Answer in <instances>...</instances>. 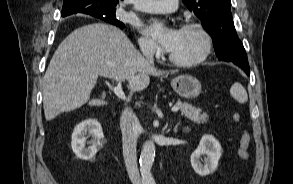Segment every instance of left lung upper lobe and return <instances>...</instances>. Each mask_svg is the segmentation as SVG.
Here are the masks:
<instances>
[{
	"label": "left lung upper lobe",
	"instance_id": "1",
	"mask_svg": "<svg viewBox=\"0 0 293 184\" xmlns=\"http://www.w3.org/2000/svg\"><path fill=\"white\" fill-rule=\"evenodd\" d=\"M190 11L200 18L210 34L216 54L219 57H234L232 52H224L222 45L239 39L230 11V0H182Z\"/></svg>",
	"mask_w": 293,
	"mask_h": 184
}]
</instances>
